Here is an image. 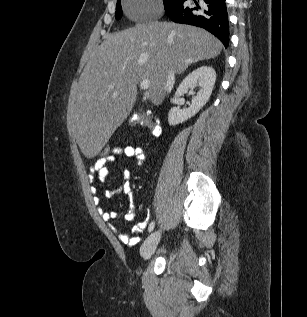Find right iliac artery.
<instances>
[{
    "mask_svg": "<svg viewBox=\"0 0 307 317\" xmlns=\"http://www.w3.org/2000/svg\"><path fill=\"white\" fill-rule=\"evenodd\" d=\"M155 223L151 222L148 228V231L151 232L154 229Z\"/></svg>",
    "mask_w": 307,
    "mask_h": 317,
    "instance_id": "right-iliac-artery-1",
    "label": "right iliac artery"
}]
</instances>
